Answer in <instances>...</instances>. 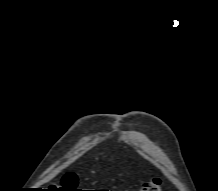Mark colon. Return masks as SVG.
Segmentation results:
<instances>
[{
	"label": "colon",
	"instance_id": "5ec220e1",
	"mask_svg": "<svg viewBox=\"0 0 218 191\" xmlns=\"http://www.w3.org/2000/svg\"><path fill=\"white\" fill-rule=\"evenodd\" d=\"M63 191H81L78 189V179L74 174H66L58 181ZM133 191H162V181L153 178L142 187Z\"/></svg>",
	"mask_w": 218,
	"mask_h": 191
}]
</instances>
